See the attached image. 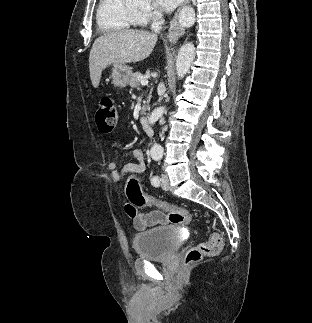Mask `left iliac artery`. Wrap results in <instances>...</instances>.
Wrapping results in <instances>:
<instances>
[{
	"label": "left iliac artery",
	"mask_w": 312,
	"mask_h": 323,
	"mask_svg": "<svg viewBox=\"0 0 312 323\" xmlns=\"http://www.w3.org/2000/svg\"><path fill=\"white\" fill-rule=\"evenodd\" d=\"M151 183L153 186L158 187L160 184V179L158 176H153V178L151 179Z\"/></svg>",
	"instance_id": "1"
}]
</instances>
